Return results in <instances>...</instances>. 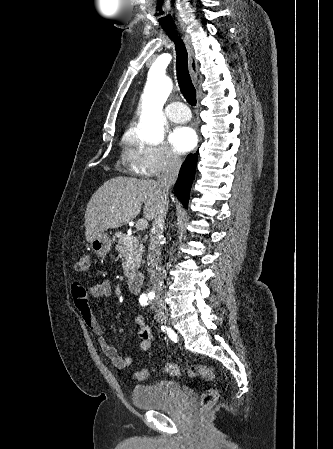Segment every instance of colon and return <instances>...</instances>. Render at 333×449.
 Returning <instances> with one entry per match:
<instances>
[{"mask_svg": "<svg viewBox=\"0 0 333 449\" xmlns=\"http://www.w3.org/2000/svg\"><path fill=\"white\" fill-rule=\"evenodd\" d=\"M91 267V255L89 253H83L76 263V269L79 272H88ZM164 371L171 376H181L185 374L189 377H201L206 381H213L215 379V374L213 370L204 365H192L186 369H182L178 364L167 363L164 366ZM148 376L147 369H140L136 372V378L138 380H144ZM218 398V391L215 388H210L206 390L200 400V405L202 408H208L215 404Z\"/></svg>", "mask_w": 333, "mask_h": 449, "instance_id": "obj_1", "label": "colon"}]
</instances>
